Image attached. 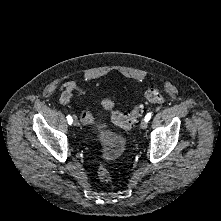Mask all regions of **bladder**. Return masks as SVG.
Masks as SVG:
<instances>
[{
    "mask_svg": "<svg viewBox=\"0 0 221 221\" xmlns=\"http://www.w3.org/2000/svg\"><path fill=\"white\" fill-rule=\"evenodd\" d=\"M111 146L109 162H115L121 159L126 153V139L121 135H114L107 138Z\"/></svg>",
    "mask_w": 221,
    "mask_h": 221,
    "instance_id": "obj_1",
    "label": "bladder"
}]
</instances>
